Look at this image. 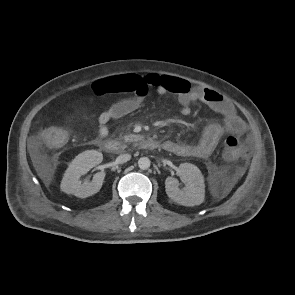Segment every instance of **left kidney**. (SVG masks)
Segmentation results:
<instances>
[{
	"label": "left kidney",
	"instance_id": "5707ae66",
	"mask_svg": "<svg viewBox=\"0 0 295 295\" xmlns=\"http://www.w3.org/2000/svg\"><path fill=\"white\" fill-rule=\"evenodd\" d=\"M179 170L186 187L181 190L178 187V180L167 177L165 189L168 197L174 202L184 206H196L203 203L205 198L204 177L199 168L190 163H182Z\"/></svg>",
	"mask_w": 295,
	"mask_h": 295
}]
</instances>
